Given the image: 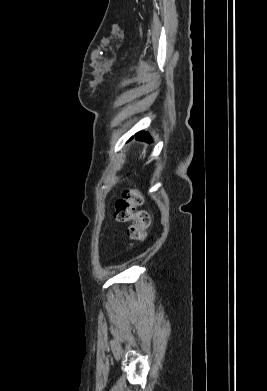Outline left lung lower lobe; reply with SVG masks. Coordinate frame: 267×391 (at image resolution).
<instances>
[{
    "mask_svg": "<svg viewBox=\"0 0 267 391\" xmlns=\"http://www.w3.org/2000/svg\"><path fill=\"white\" fill-rule=\"evenodd\" d=\"M135 137H136L137 139H139V140H143V141H146V142H148V143L151 142V139H150L149 135H147V134L144 133V132H139V133L135 134Z\"/></svg>",
    "mask_w": 267,
    "mask_h": 391,
    "instance_id": "obj_1",
    "label": "left lung lower lobe"
}]
</instances>
